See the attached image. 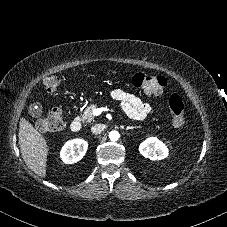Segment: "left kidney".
Listing matches in <instances>:
<instances>
[{
    "mask_svg": "<svg viewBox=\"0 0 227 227\" xmlns=\"http://www.w3.org/2000/svg\"><path fill=\"white\" fill-rule=\"evenodd\" d=\"M140 153L150 160H162L168 156L166 145L156 137L147 138L139 146Z\"/></svg>",
    "mask_w": 227,
    "mask_h": 227,
    "instance_id": "5707ae66",
    "label": "left kidney"
}]
</instances>
